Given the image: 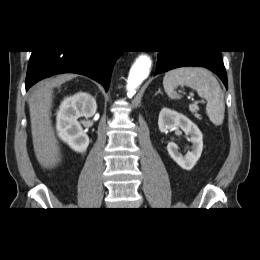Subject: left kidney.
Wrapping results in <instances>:
<instances>
[{
	"label": "left kidney",
	"mask_w": 260,
	"mask_h": 260,
	"mask_svg": "<svg viewBox=\"0 0 260 260\" xmlns=\"http://www.w3.org/2000/svg\"><path fill=\"white\" fill-rule=\"evenodd\" d=\"M158 126L161 132H167L175 127H180L186 135H189L192 143L191 152L183 157L178 146L169 142L167 150L171 158L183 169L191 170L201 156L203 150V135L197 125L181 113L163 108L160 111Z\"/></svg>",
	"instance_id": "5707ae66"
}]
</instances>
